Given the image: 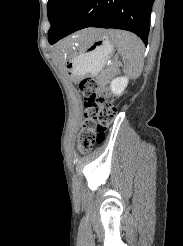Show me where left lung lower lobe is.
<instances>
[{
    "label": "left lung lower lobe",
    "mask_w": 183,
    "mask_h": 246,
    "mask_svg": "<svg viewBox=\"0 0 183 246\" xmlns=\"http://www.w3.org/2000/svg\"><path fill=\"white\" fill-rule=\"evenodd\" d=\"M154 0H80L59 34L49 39L56 43L65 36L87 27L131 31L147 45L150 14Z\"/></svg>",
    "instance_id": "1"
}]
</instances>
